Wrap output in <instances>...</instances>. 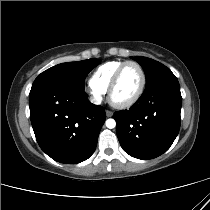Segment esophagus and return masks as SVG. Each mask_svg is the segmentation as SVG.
<instances>
[{
  "mask_svg": "<svg viewBox=\"0 0 210 210\" xmlns=\"http://www.w3.org/2000/svg\"><path fill=\"white\" fill-rule=\"evenodd\" d=\"M105 113H106L107 117H112L113 116V112L110 111V110H106Z\"/></svg>",
  "mask_w": 210,
  "mask_h": 210,
  "instance_id": "1",
  "label": "esophagus"
}]
</instances>
